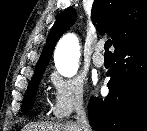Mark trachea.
<instances>
[{
    "mask_svg": "<svg viewBox=\"0 0 147 131\" xmlns=\"http://www.w3.org/2000/svg\"><path fill=\"white\" fill-rule=\"evenodd\" d=\"M111 45H112L111 40H107V41L105 42L104 48H105V53H106V54H110V53H111V52L109 51Z\"/></svg>",
    "mask_w": 147,
    "mask_h": 131,
    "instance_id": "obj_1",
    "label": "trachea"
}]
</instances>
